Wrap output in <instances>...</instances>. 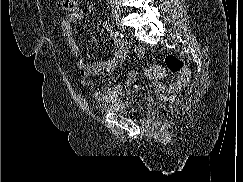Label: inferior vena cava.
Masks as SVG:
<instances>
[{
  "instance_id": "602c4592",
  "label": "inferior vena cava",
  "mask_w": 243,
  "mask_h": 182,
  "mask_svg": "<svg viewBox=\"0 0 243 182\" xmlns=\"http://www.w3.org/2000/svg\"><path fill=\"white\" fill-rule=\"evenodd\" d=\"M110 6L114 15L120 14L119 0H110Z\"/></svg>"
}]
</instances>
